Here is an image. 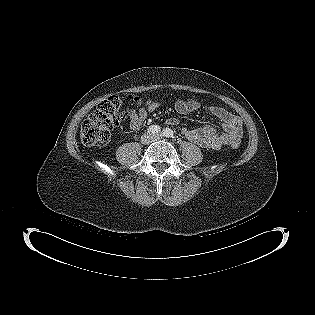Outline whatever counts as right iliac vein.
Segmentation results:
<instances>
[{
  "label": "right iliac vein",
  "mask_w": 315,
  "mask_h": 315,
  "mask_svg": "<svg viewBox=\"0 0 315 315\" xmlns=\"http://www.w3.org/2000/svg\"><path fill=\"white\" fill-rule=\"evenodd\" d=\"M152 140V137L147 133V134H144L142 137H141V143L143 145H147L151 142Z\"/></svg>",
  "instance_id": "obj_1"
}]
</instances>
